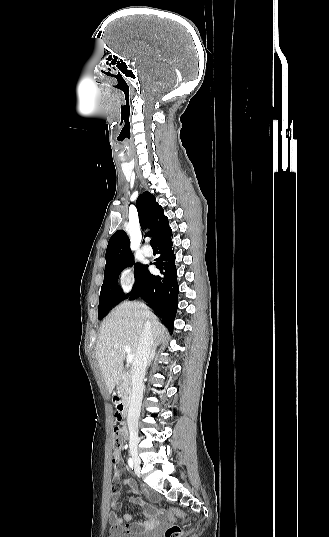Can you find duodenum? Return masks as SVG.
Here are the masks:
<instances>
[{
	"instance_id": "obj_1",
	"label": "duodenum",
	"mask_w": 329,
	"mask_h": 537,
	"mask_svg": "<svg viewBox=\"0 0 329 537\" xmlns=\"http://www.w3.org/2000/svg\"><path fill=\"white\" fill-rule=\"evenodd\" d=\"M113 403L115 408H119V412L125 418L128 414L129 401L125 398L115 397Z\"/></svg>"
}]
</instances>
